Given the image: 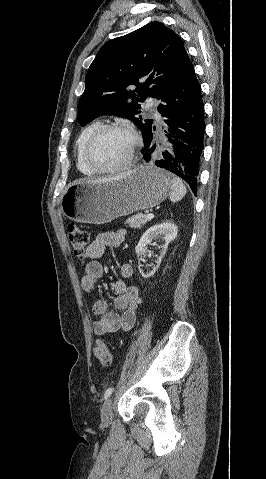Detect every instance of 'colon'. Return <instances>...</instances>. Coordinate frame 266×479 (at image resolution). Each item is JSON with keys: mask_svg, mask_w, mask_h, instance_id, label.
Here are the masks:
<instances>
[{"mask_svg": "<svg viewBox=\"0 0 266 479\" xmlns=\"http://www.w3.org/2000/svg\"><path fill=\"white\" fill-rule=\"evenodd\" d=\"M67 237L74 254L81 259L86 258L90 240L88 231L75 224H69L67 227ZM93 352L102 365L109 366L112 364L113 356L104 339L99 338L95 341Z\"/></svg>", "mask_w": 266, "mask_h": 479, "instance_id": "1", "label": "colon"}]
</instances>
